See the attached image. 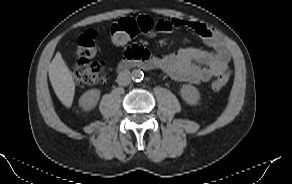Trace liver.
I'll use <instances>...</instances> for the list:
<instances>
[{
    "label": "liver",
    "mask_w": 292,
    "mask_h": 184,
    "mask_svg": "<svg viewBox=\"0 0 292 184\" xmlns=\"http://www.w3.org/2000/svg\"><path fill=\"white\" fill-rule=\"evenodd\" d=\"M48 72L55 94L63 105L70 108L75 94V82L60 52L56 53Z\"/></svg>",
    "instance_id": "liver-1"
}]
</instances>
